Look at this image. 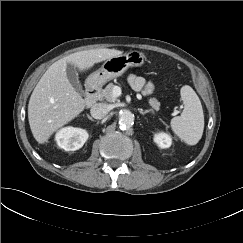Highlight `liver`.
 Returning a JSON list of instances; mask_svg holds the SVG:
<instances>
[{
    "instance_id": "liver-1",
    "label": "liver",
    "mask_w": 243,
    "mask_h": 243,
    "mask_svg": "<svg viewBox=\"0 0 243 243\" xmlns=\"http://www.w3.org/2000/svg\"><path fill=\"white\" fill-rule=\"evenodd\" d=\"M122 51L108 48L72 53L54 62L34 88L28 104V120L33 137L45 143L59 128L77 117L86 106L85 100L74 89L66 74L70 63L80 72L96 63L122 55Z\"/></svg>"
}]
</instances>
